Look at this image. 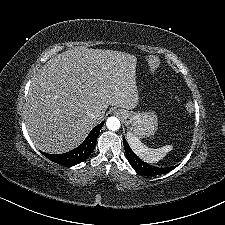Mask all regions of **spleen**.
<instances>
[{"mask_svg": "<svg viewBox=\"0 0 225 225\" xmlns=\"http://www.w3.org/2000/svg\"><path fill=\"white\" fill-rule=\"evenodd\" d=\"M127 141L133 150V152L143 161L152 164L157 163L159 160L164 158L167 153L172 149V145H165L161 148H149L144 145L138 137L134 136L132 133H127Z\"/></svg>", "mask_w": 225, "mask_h": 225, "instance_id": "spleen-1", "label": "spleen"}]
</instances>
